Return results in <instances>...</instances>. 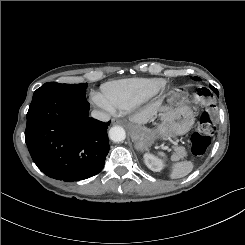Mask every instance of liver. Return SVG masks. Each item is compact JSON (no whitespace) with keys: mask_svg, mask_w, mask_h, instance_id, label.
<instances>
[{"mask_svg":"<svg viewBox=\"0 0 245 245\" xmlns=\"http://www.w3.org/2000/svg\"><path fill=\"white\" fill-rule=\"evenodd\" d=\"M156 112H157V105L152 104L146 107L145 109H143L141 112L132 116L130 120L136 124H146L154 115H156Z\"/></svg>","mask_w":245,"mask_h":245,"instance_id":"liver-1","label":"liver"}]
</instances>
